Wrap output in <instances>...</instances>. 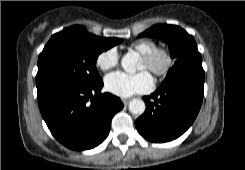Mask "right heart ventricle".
I'll use <instances>...</instances> for the list:
<instances>
[{
    "label": "right heart ventricle",
    "instance_id": "1",
    "mask_svg": "<svg viewBox=\"0 0 245 170\" xmlns=\"http://www.w3.org/2000/svg\"><path fill=\"white\" fill-rule=\"evenodd\" d=\"M157 43L150 39H141L133 42L130 48L137 51L141 55L151 52L157 48Z\"/></svg>",
    "mask_w": 245,
    "mask_h": 170
}]
</instances>
